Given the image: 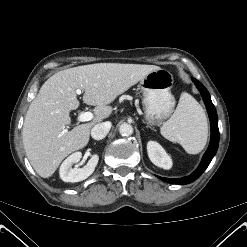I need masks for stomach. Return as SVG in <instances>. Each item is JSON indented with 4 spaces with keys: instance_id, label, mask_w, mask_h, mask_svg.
Returning a JSON list of instances; mask_svg holds the SVG:
<instances>
[{
    "instance_id": "0dacf381",
    "label": "stomach",
    "mask_w": 247,
    "mask_h": 247,
    "mask_svg": "<svg viewBox=\"0 0 247 247\" xmlns=\"http://www.w3.org/2000/svg\"><path fill=\"white\" fill-rule=\"evenodd\" d=\"M173 75L165 69L148 73L140 80L142 104L146 120L154 125H161L174 111L175 98L171 94Z\"/></svg>"
}]
</instances>
